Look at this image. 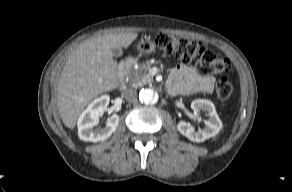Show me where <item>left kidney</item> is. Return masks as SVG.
Returning a JSON list of instances; mask_svg holds the SVG:
<instances>
[{"mask_svg":"<svg viewBox=\"0 0 292 192\" xmlns=\"http://www.w3.org/2000/svg\"><path fill=\"white\" fill-rule=\"evenodd\" d=\"M191 108L194 112H200L201 110L206 112L209 119L204 121L205 128L197 131L192 125L185 121H180L177 125V130L182 135L193 142H203L219 133L223 125L218 117L215 106L211 101L206 99H196L192 101Z\"/></svg>","mask_w":292,"mask_h":192,"instance_id":"left-kidney-1","label":"left kidney"}]
</instances>
